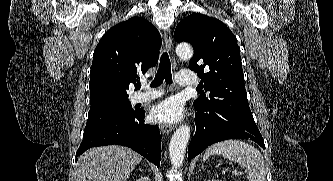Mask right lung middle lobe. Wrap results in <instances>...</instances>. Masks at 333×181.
<instances>
[{
	"instance_id": "obj_1",
	"label": "right lung middle lobe",
	"mask_w": 333,
	"mask_h": 181,
	"mask_svg": "<svg viewBox=\"0 0 333 181\" xmlns=\"http://www.w3.org/2000/svg\"><path fill=\"white\" fill-rule=\"evenodd\" d=\"M131 113H133V109L129 100L114 102L91 109L88 113V120L85 129Z\"/></svg>"
}]
</instances>
